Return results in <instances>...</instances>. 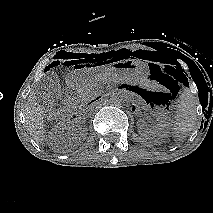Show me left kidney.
<instances>
[{
  "label": "left kidney",
  "mask_w": 213,
  "mask_h": 213,
  "mask_svg": "<svg viewBox=\"0 0 213 213\" xmlns=\"http://www.w3.org/2000/svg\"><path fill=\"white\" fill-rule=\"evenodd\" d=\"M152 116L157 119L156 126L151 129L142 121L139 126V133L144 137H156L158 139L167 137L170 124L166 111L157 109L152 113Z\"/></svg>",
  "instance_id": "obj_1"
}]
</instances>
